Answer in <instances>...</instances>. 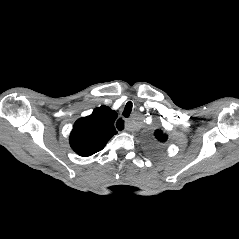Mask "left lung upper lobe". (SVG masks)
<instances>
[{
    "instance_id": "5c2ea615",
    "label": "left lung upper lobe",
    "mask_w": 239,
    "mask_h": 239,
    "mask_svg": "<svg viewBox=\"0 0 239 239\" xmlns=\"http://www.w3.org/2000/svg\"><path fill=\"white\" fill-rule=\"evenodd\" d=\"M155 136L159 141H162V142L166 141L167 139V136L164 133H162L161 130H157L155 132Z\"/></svg>"
}]
</instances>
